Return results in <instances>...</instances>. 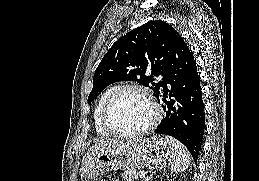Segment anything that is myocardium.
Returning a JSON list of instances; mask_svg holds the SVG:
<instances>
[{
	"mask_svg": "<svg viewBox=\"0 0 259 181\" xmlns=\"http://www.w3.org/2000/svg\"><path fill=\"white\" fill-rule=\"evenodd\" d=\"M129 90L138 91L147 99V101L151 106L153 115L150 122L142 129L137 131H132V132H122L117 130L112 125L110 120V115L117 98L123 92L129 91ZM161 117H162L161 109L156 99L154 98L153 94L151 93V91L146 86L137 84V83H130V84H125V85L116 87L108 97L102 111V122L104 126L112 135L121 137V138H135V137H140L147 134L158 125V123L161 120Z\"/></svg>",
	"mask_w": 259,
	"mask_h": 181,
	"instance_id": "obj_1",
	"label": "myocardium"
}]
</instances>
